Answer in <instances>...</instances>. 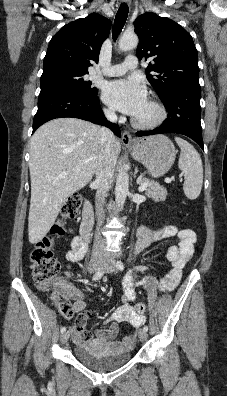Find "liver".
I'll list each match as a JSON object with an SVG mask.
<instances>
[{
    "label": "liver",
    "instance_id": "6515ba94",
    "mask_svg": "<svg viewBox=\"0 0 227 396\" xmlns=\"http://www.w3.org/2000/svg\"><path fill=\"white\" fill-rule=\"evenodd\" d=\"M100 128L77 118H57L36 130L30 144L31 201L29 242L35 244L49 232L65 199L86 186L95 174ZM115 157L121 144L112 140Z\"/></svg>",
    "mask_w": 227,
    "mask_h": 396
}]
</instances>
